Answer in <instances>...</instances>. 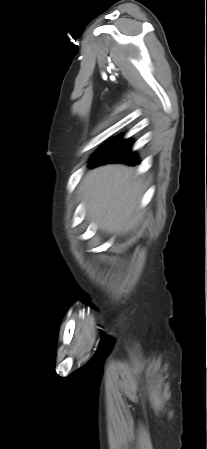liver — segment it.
<instances>
[{"mask_svg": "<svg viewBox=\"0 0 207 449\" xmlns=\"http://www.w3.org/2000/svg\"><path fill=\"white\" fill-rule=\"evenodd\" d=\"M145 186L135 169L108 164L89 171L83 178L79 196L87 203L88 215L99 228L112 234L126 233L140 221L138 210Z\"/></svg>", "mask_w": 207, "mask_h": 449, "instance_id": "liver-1", "label": "liver"}]
</instances>
